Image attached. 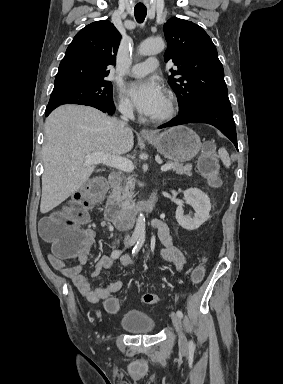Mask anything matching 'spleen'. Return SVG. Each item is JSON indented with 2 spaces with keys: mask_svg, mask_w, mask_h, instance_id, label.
<instances>
[{
  "mask_svg": "<svg viewBox=\"0 0 283 384\" xmlns=\"http://www.w3.org/2000/svg\"><path fill=\"white\" fill-rule=\"evenodd\" d=\"M218 154H219V158H220V160H222L224 166H226V168H230L231 160H230L229 154H228V152H226L225 148H219Z\"/></svg>",
  "mask_w": 283,
  "mask_h": 384,
  "instance_id": "1",
  "label": "spleen"
}]
</instances>
